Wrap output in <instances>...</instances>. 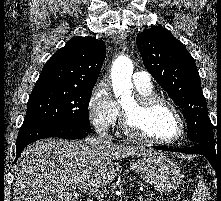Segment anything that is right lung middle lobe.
<instances>
[{"label": "right lung middle lobe", "mask_w": 221, "mask_h": 201, "mask_svg": "<svg viewBox=\"0 0 221 201\" xmlns=\"http://www.w3.org/2000/svg\"><path fill=\"white\" fill-rule=\"evenodd\" d=\"M91 94L92 90L33 89L22 126L60 123L91 130L88 118Z\"/></svg>", "instance_id": "1"}]
</instances>
